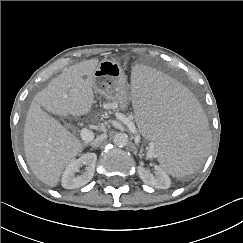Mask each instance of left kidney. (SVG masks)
Here are the masks:
<instances>
[{
	"mask_svg": "<svg viewBox=\"0 0 243 243\" xmlns=\"http://www.w3.org/2000/svg\"><path fill=\"white\" fill-rule=\"evenodd\" d=\"M138 174L142 181L156 188L167 189L170 187V178L161 168H155V175L149 173L143 166H138Z\"/></svg>",
	"mask_w": 243,
	"mask_h": 243,
	"instance_id": "obj_1",
	"label": "left kidney"
}]
</instances>
